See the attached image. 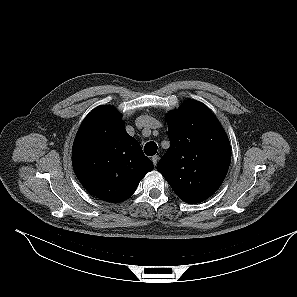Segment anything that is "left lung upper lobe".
Here are the masks:
<instances>
[{"label":"left lung upper lobe","instance_id":"5c2ea615","mask_svg":"<svg viewBox=\"0 0 297 297\" xmlns=\"http://www.w3.org/2000/svg\"><path fill=\"white\" fill-rule=\"evenodd\" d=\"M170 148L157 170L186 203L212 196L226 177L231 160L229 139L211 111L195 100L167 114Z\"/></svg>","mask_w":297,"mask_h":297}]
</instances>
